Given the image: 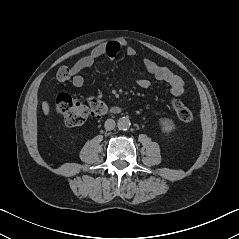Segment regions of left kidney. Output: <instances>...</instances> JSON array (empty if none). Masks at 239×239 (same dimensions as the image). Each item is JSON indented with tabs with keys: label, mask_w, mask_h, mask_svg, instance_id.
I'll use <instances>...</instances> for the list:
<instances>
[{
	"label": "left kidney",
	"mask_w": 239,
	"mask_h": 239,
	"mask_svg": "<svg viewBox=\"0 0 239 239\" xmlns=\"http://www.w3.org/2000/svg\"><path fill=\"white\" fill-rule=\"evenodd\" d=\"M161 129L164 133L169 134L175 129V124L171 119L168 118H161L159 120Z\"/></svg>",
	"instance_id": "obj_1"
}]
</instances>
